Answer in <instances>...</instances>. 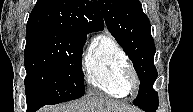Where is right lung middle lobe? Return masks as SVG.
<instances>
[{"mask_svg":"<svg viewBox=\"0 0 193 112\" xmlns=\"http://www.w3.org/2000/svg\"><path fill=\"white\" fill-rule=\"evenodd\" d=\"M87 33L41 29L27 32L25 93L42 107L84 95L81 55Z\"/></svg>","mask_w":193,"mask_h":112,"instance_id":"right-lung-middle-lobe-1","label":"right lung middle lobe"}]
</instances>
